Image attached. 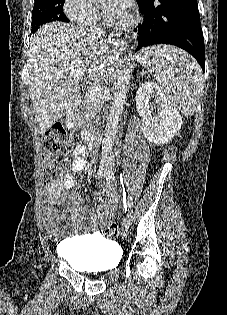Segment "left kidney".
I'll use <instances>...</instances> for the list:
<instances>
[{"label":"left kidney","mask_w":227,"mask_h":315,"mask_svg":"<svg viewBox=\"0 0 227 315\" xmlns=\"http://www.w3.org/2000/svg\"><path fill=\"white\" fill-rule=\"evenodd\" d=\"M135 101L138 114L143 120L141 129L150 143H168L180 130L182 125L180 113L156 83L141 84L136 92ZM153 106L159 111L156 116L152 115Z\"/></svg>","instance_id":"1"}]
</instances>
